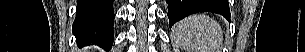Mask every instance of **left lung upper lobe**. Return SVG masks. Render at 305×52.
Returning a JSON list of instances; mask_svg holds the SVG:
<instances>
[{"mask_svg": "<svg viewBox=\"0 0 305 52\" xmlns=\"http://www.w3.org/2000/svg\"><path fill=\"white\" fill-rule=\"evenodd\" d=\"M210 1L215 2V1H220V0H210ZM218 7H220V6H218ZM197 11L198 10L188 9L187 11L182 12L179 15H177L176 20L179 21L190 14L196 13Z\"/></svg>", "mask_w": 305, "mask_h": 52, "instance_id": "left-lung-upper-lobe-1", "label": "left lung upper lobe"}]
</instances>
